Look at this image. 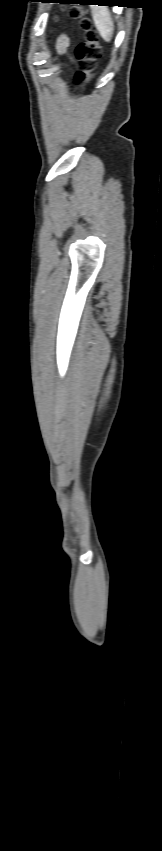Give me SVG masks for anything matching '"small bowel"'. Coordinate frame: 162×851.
Listing matches in <instances>:
<instances>
[{
  "label": "small bowel",
  "instance_id": "small-bowel-1",
  "mask_svg": "<svg viewBox=\"0 0 162 851\" xmlns=\"http://www.w3.org/2000/svg\"><path fill=\"white\" fill-rule=\"evenodd\" d=\"M70 41L67 36H61L57 42V50L61 54H67Z\"/></svg>",
  "mask_w": 162,
  "mask_h": 851
}]
</instances>
